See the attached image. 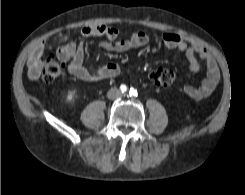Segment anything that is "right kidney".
<instances>
[{"label":"right kidney","mask_w":245,"mask_h":195,"mask_svg":"<svg viewBox=\"0 0 245 195\" xmlns=\"http://www.w3.org/2000/svg\"><path fill=\"white\" fill-rule=\"evenodd\" d=\"M75 91H70L67 95H66V101L70 102L74 99L75 97Z\"/></svg>","instance_id":"ca27d5eb"}]
</instances>
